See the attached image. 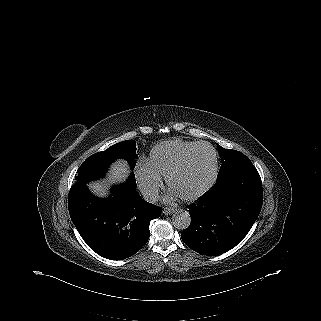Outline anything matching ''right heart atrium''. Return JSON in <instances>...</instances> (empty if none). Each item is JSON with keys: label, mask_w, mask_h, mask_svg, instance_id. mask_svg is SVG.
Returning a JSON list of instances; mask_svg holds the SVG:
<instances>
[{"label": "right heart atrium", "mask_w": 321, "mask_h": 321, "mask_svg": "<svg viewBox=\"0 0 321 321\" xmlns=\"http://www.w3.org/2000/svg\"><path fill=\"white\" fill-rule=\"evenodd\" d=\"M134 175L139 188L149 199H154L161 187V177L150 167L147 160H138L134 167Z\"/></svg>", "instance_id": "obj_1"}]
</instances>
